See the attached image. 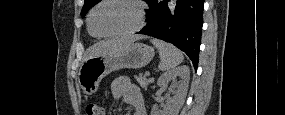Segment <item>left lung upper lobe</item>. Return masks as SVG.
Returning a JSON list of instances; mask_svg holds the SVG:
<instances>
[{
  "label": "left lung upper lobe",
  "instance_id": "obj_1",
  "mask_svg": "<svg viewBox=\"0 0 285 115\" xmlns=\"http://www.w3.org/2000/svg\"><path fill=\"white\" fill-rule=\"evenodd\" d=\"M98 2H100V0H85L84 6H83L82 11H81V16L84 17L87 14V12L89 11V9L92 6L96 5Z\"/></svg>",
  "mask_w": 285,
  "mask_h": 115
}]
</instances>
